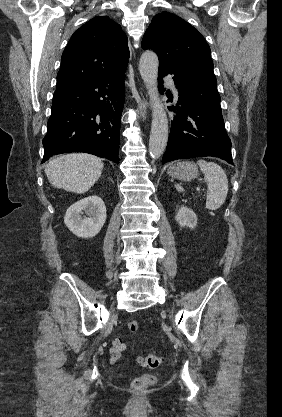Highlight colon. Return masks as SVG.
Wrapping results in <instances>:
<instances>
[{"label":"colon","mask_w":282,"mask_h":417,"mask_svg":"<svg viewBox=\"0 0 282 417\" xmlns=\"http://www.w3.org/2000/svg\"><path fill=\"white\" fill-rule=\"evenodd\" d=\"M127 327L131 333L135 334L139 331L140 325L138 321L132 320L127 323ZM124 351L125 344L120 340L115 341L109 350L112 361L119 362L123 356ZM154 351L156 352L157 350L155 349ZM161 363L162 357L157 353H149L145 355L141 362L144 368L149 369H156L161 365ZM155 379L156 377L151 374H144L139 377H136L132 381L133 392L147 393L148 387L155 382Z\"/></svg>","instance_id":"colon-1"}]
</instances>
